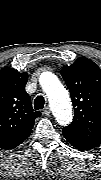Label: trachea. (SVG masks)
<instances>
[{"label":"trachea","mask_w":101,"mask_h":180,"mask_svg":"<svg viewBox=\"0 0 101 180\" xmlns=\"http://www.w3.org/2000/svg\"><path fill=\"white\" fill-rule=\"evenodd\" d=\"M45 100L43 96H37L36 99L34 100V108L36 110H40L44 107Z\"/></svg>","instance_id":"obj_1"}]
</instances>
